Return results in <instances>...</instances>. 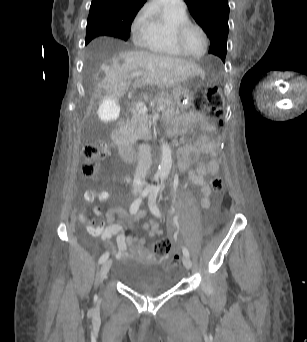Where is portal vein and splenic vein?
Listing matches in <instances>:
<instances>
[{"label":"portal vein and splenic vein","instance_id":"1","mask_svg":"<svg viewBox=\"0 0 307 342\" xmlns=\"http://www.w3.org/2000/svg\"><path fill=\"white\" fill-rule=\"evenodd\" d=\"M136 76H142V72L139 74H130L129 78L130 80H133V78H136ZM133 102L135 103V108L141 110L142 115H145V112H148L149 107L145 104V102H138L136 99ZM163 110V108H158L157 112H162Z\"/></svg>","mask_w":307,"mask_h":342}]
</instances>
